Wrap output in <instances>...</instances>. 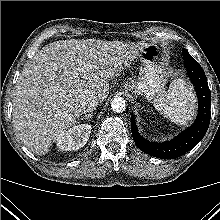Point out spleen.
Here are the masks:
<instances>
[{
    "label": "spleen",
    "instance_id": "1",
    "mask_svg": "<svg viewBox=\"0 0 220 220\" xmlns=\"http://www.w3.org/2000/svg\"><path fill=\"white\" fill-rule=\"evenodd\" d=\"M154 107L175 124L185 126L195 115L196 99L191 86L175 79L168 91L154 99Z\"/></svg>",
    "mask_w": 220,
    "mask_h": 220
}]
</instances>
